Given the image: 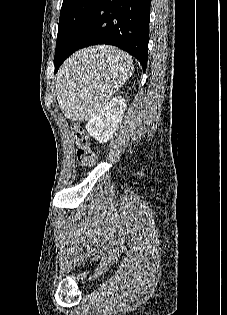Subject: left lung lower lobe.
Returning <instances> with one entry per match:
<instances>
[{"instance_id":"0a47b994","label":"left lung lower lobe","mask_w":227,"mask_h":315,"mask_svg":"<svg viewBox=\"0 0 227 315\" xmlns=\"http://www.w3.org/2000/svg\"><path fill=\"white\" fill-rule=\"evenodd\" d=\"M151 0H100L67 46L55 54V73L75 51L99 44L117 46L139 60H148Z\"/></svg>"}]
</instances>
